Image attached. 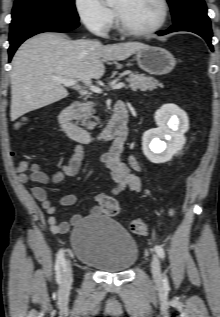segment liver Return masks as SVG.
I'll list each match as a JSON object with an SVG mask.
<instances>
[{
	"label": "liver",
	"mask_w": 220,
	"mask_h": 317,
	"mask_svg": "<svg viewBox=\"0 0 220 317\" xmlns=\"http://www.w3.org/2000/svg\"><path fill=\"white\" fill-rule=\"evenodd\" d=\"M145 47L139 42L102 45L85 39L70 40L56 33L32 37L12 59L11 120L68 96L54 76L90 85L92 79L104 75V61L125 60Z\"/></svg>",
	"instance_id": "liver-1"
}]
</instances>
